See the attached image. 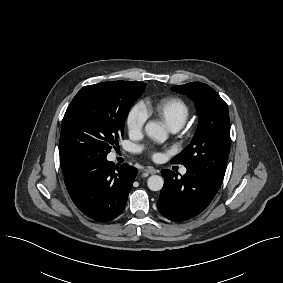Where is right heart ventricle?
<instances>
[{
    "label": "right heart ventricle",
    "instance_id": "obj_1",
    "mask_svg": "<svg viewBox=\"0 0 283 283\" xmlns=\"http://www.w3.org/2000/svg\"><path fill=\"white\" fill-rule=\"evenodd\" d=\"M147 114L161 118L170 129H179L190 115L188 104L180 97L167 96L145 106Z\"/></svg>",
    "mask_w": 283,
    "mask_h": 283
}]
</instances>
